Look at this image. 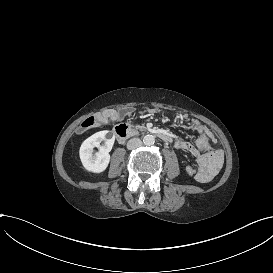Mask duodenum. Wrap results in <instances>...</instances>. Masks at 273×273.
I'll return each instance as SVG.
<instances>
[{
	"label": "duodenum",
	"mask_w": 273,
	"mask_h": 273,
	"mask_svg": "<svg viewBox=\"0 0 273 273\" xmlns=\"http://www.w3.org/2000/svg\"><path fill=\"white\" fill-rule=\"evenodd\" d=\"M136 134V131L129 128L125 124H120L115 127V135L117 137V140L119 142H124L127 138L133 136ZM158 137L162 139L163 141L169 142L171 141V137L169 134L164 132L157 133Z\"/></svg>",
	"instance_id": "obj_1"
}]
</instances>
